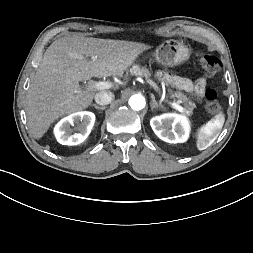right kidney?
<instances>
[{
    "instance_id": "1",
    "label": "right kidney",
    "mask_w": 253,
    "mask_h": 253,
    "mask_svg": "<svg viewBox=\"0 0 253 253\" xmlns=\"http://www.w3.org/2000/svg\"><path fill=\"white\" fill-rule=\"evenodd\" d=\"M95 122V115L92 112L83 111L73 113L60 120L54 128L57 141L62 145H78L90 134ZM76 133L70 126H74Z\"/></svg>"
}]
</instances>
